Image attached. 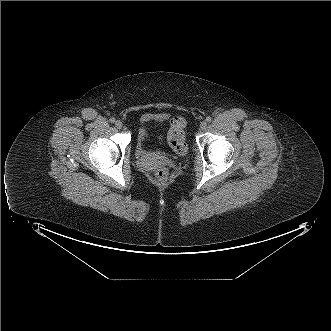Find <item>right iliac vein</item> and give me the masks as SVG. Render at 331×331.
Wrapping results in <instances>:
<instances>
[{"instance_id":"63e3f726","label":"right iliac vein","mask_w":331,"mask_h":331,"mask_svg":"<svg viewBox=\"0 0 331 331\" xmlns=\"http://www.w3.org/2000/svg\"><path fill=\"white\" fill-rule=\"evenodd\" d=\"M115 127L118 128V129H121L123 127V123L120 120H117L115 122Z\"/></svg>"}]
</instances>
